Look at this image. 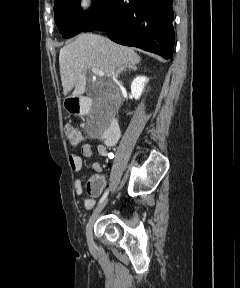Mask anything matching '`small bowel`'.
Segmentation results:
<instances>
[{"mask_svg": "<svg viewBox=\"0 0 240 288\" xmlns=\"http://www.w3.org/2000/svg\"><path fill=\"white\" fill-rule=\"evenodd\" d=\"M94 149L97 150V152L103 156V157H110L111 153L108 151L107 147L99 144V145H93L90 143H86L84 144L81 149H80V154L84 157H91L93 154ZM70 166L72 171L75 174H79L81 169H82V159L79 155L77 154H73L70 156ZM92 168L93 170L96 172V174L93 176L92 179H94L97 183H98V191L94 194V196H98L102 190L104 189L105 185H106V178L103 174H101L102 172V167L98 162H93L92 163ZM75 190L76 193L79 196H83V188H82V183H81V179L79 177L75 178ZM95 199L93 198H84L83 199V205L86 209L90 210L94 207L95 205Z\"/></svg>", "mask_w": 240, "mask_h": 288, "instance_id": "small-bowel-1", "label": "small bowel"}]
</instances>
